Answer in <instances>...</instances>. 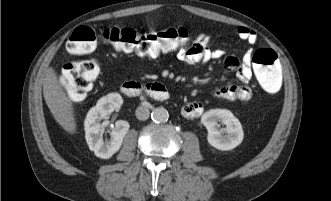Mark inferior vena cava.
Wrapping results in <instances>:
<instances>
[{"label": "inferior vena cava", "instance_id": "602c4592", "mask_svg": "<svg viewBox=\"0 0 331 201\" xmlns=\"http://www.w3.org/2000/svg\"><path fill=\"white\" fill-rule=\"evenodd\" d=\"M135 114H136L137 119L144 121L149 118L150 111L148 108L140 106L136 109Z\"/></svg>", "mask_w": 331, "mask_h": 201}]
</instances>
